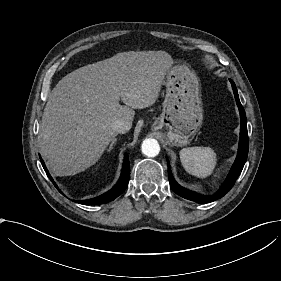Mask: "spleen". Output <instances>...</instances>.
<instances>
[{
    "label": "spleen",
    "mask_w": 281,
    "mask_h": 281,
    "mask_svg": "<svg viewBox=\"0 0 281 281\" xmlns=\"http://www.w3.org/2000/svg\"><path fill=\"white\" fill-rule=\"evenodd\" d=\"M179 154L185 170L199 178L211 175L216 166V154L210 147L183 148Z\"/></svg>",
    "instance_id": "spleen-1"
}]
</instances>
